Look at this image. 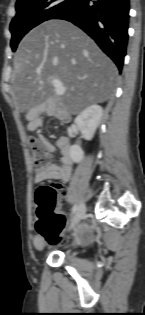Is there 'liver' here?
Segmentation results:
<instances>
[{
	"label": "liver",
	"instance_id": "liver-1",
	"mask_svg": "<svg viewBox=\"0 0 145 315\" xmlns=\"http://www.w3.org/2000/svg\"><path fill=\"white\" fill-rule=\"evenodd\" d=\"M118 70L81 29L64 20H49L32 29L20 42L14 57L11 95L20 111L47 104L68 119L113 94ZM66 89L54 98L52 80Z\"/></svg>",
	"mask_w": 145,
	"mask_h": 315
}]
</instances>
